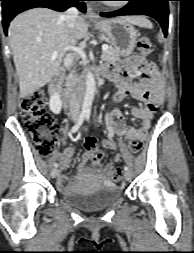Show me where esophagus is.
Here are the masks:
<instances>
[{"mask_svg": "<svg viewBox=\"0 0 194 253\" xmlns=\"http://www.w3.org/2000/svg\"><path fill=\"white\" fill-rule=\"evenodd\" d=\"M87 17L91 20H98L99 16L93 11L91 7L87 9Z\"/></svg>", "mask_w": 194, "mask_h": 253, "instance_id": "esophagus-1", "label": "esophagus"}]
</instances>
